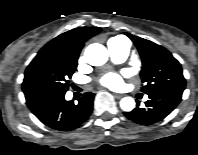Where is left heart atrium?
Listing matches in <instances>:
<instances>
[{"label": "left heart atrium", "mask_w": 198, "mask_h": 155, "mask_svg": "<svg viewBox=\"0 0 198 155\" xmlns=\"http://www.w3.org/2000/svg\"><path fill=\"white\" fill-rule=\"evenodd\" d=\"M99 82L101 85L108 88H118L122 85V79L116 73H107L103 75Z\"/></svg>", "instance_id": "1"}]
</instances>
